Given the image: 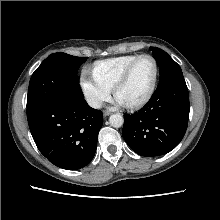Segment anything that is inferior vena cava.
<instances>
[{
  "instance_id": "602c4592",
  "label": "inferior vena cava",
  "mask_w": 220,
  "mask_h": 220,
  "mask_svg": "<svg viewBox=\"0 0 220 220\" xmlns=\"http://www.w3.org/2000/svg\"><path fill=\"white\" fill-rule=\"evenodd\" d=\"M88 103L93 108H100L102 105V102L98 99H89Z\"/></svg>"
}]
</instances>
